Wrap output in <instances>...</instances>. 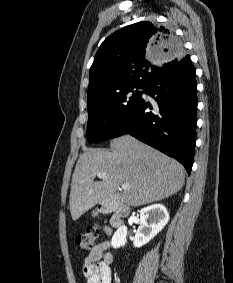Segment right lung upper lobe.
Listing matches in <instances>:
<instances>
[{
	"label": "right lung upper lobe",
	"instance_id": "right-lung-upper-lobe-1",
	"mask_svg": "<svg viewBox=\"0 0 233 283\" xmlns=\"http://www.w3.org/2000/svg\"><path fill=\"white\" fill-rule=\"evenodd\" d=\"M177 44L172 33L143 21L126 26L100 45L90 68L87 105L131 86L146 87L175 65L189 50Z\"/></svg>",
	"mask_w": 233,
	"mask_h": 283
}]
</instances>
